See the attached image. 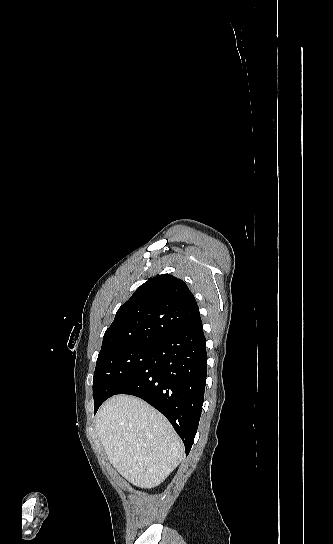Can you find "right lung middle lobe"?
Masks as SVG:
<instances>
[{
  "label": "right lung middle lobe",
  "mask_w": 333,
  "mask_h": 544,
  "mask_svg": "<svg viewBox=\"0 0 333 544\" xmlns=\"http://www.w3.org/2000/svg\"><path fill=\"white\" fill-rule=\"evenodd\" d=\"M154 342L119 346L99 353L93 377L94 412L123 389L147 362Z\"/></svg>",
  "instance_id": "obj_1"
}]
</instances>
